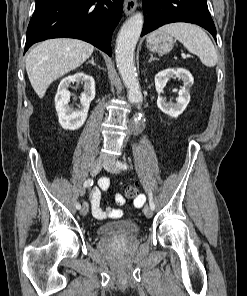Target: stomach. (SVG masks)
Masks as SVG:
<instances>
[{
	"label": "stomach",
	"instance_id": "0dacf381",
	"mask_svg": "<svg viewBox=\"0 0 247 296\" xmlns=\"http://www.w3.org/2000/svg\"><path fill=\"white\" fill-rule=\"evenodd\" d=\"M146 45L151 52L163 55L172 50L174 41L167 33L155 31L148 36Z\"/></svg>",
	"mask_w": 247,
	"mask_h": 296
}]
</instances>
